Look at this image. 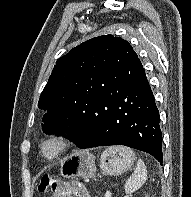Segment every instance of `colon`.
<instances>
[{
    "label": "colon",
    "mask_w": 191,
    "mask_h": 197,
    "mask_svg": "<svg viewBox=\"0 0 191 197\" xmlns=\"http://www.w3.org/2000/svg\"><path fill=\"white\" fill-rule=\"evenodd\" d=\"M57 188L56 182L53 177L44 175L41 177L39 184H38V191L40 193H46L48 191H55Z\"/></svg>",
    "instance_id": "5ec220e1"
}]
</instances>
